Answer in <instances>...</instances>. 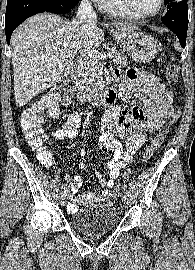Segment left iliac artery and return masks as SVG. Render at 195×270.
<instances>
[{"instance_id":"1","label":"left iliac artery","mask_w":195,"mask_h":270,"mask_svg":"<svg viewBox=\"0 0 195 270\" xmlns=\"http://www.w3.org/2000/svg\"><path fill=\"white\" fill-rule=\"evenodd\" d=\"M125 194L130 197V193L127 190H125Z\"/></svg>"}]
</instances>
